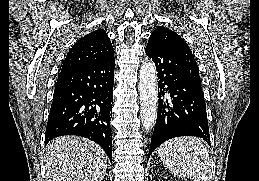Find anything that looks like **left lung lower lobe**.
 Listing matches in <instances>:
<instances>
[{"label":"left lung lower lobe","mask_w":259,"mask_h":181,"mask_svg":"<svg viewBox=\"0 0 259 181\" xmlns=\"http://www.w3.org/2000/svg\"><path fill=\"white\" fill-rule=\"evenodd\" d=\"M145 53L154 61L159 79L158 113L148 158L160 144L174 137L197 136L210 145L203 91L182 73L178 42L164 39L148 43ZM166 92L169 99L163 98Z\"/></svg>","instance_id":"left-lung-lower-lobe-1"}]
</instances>
